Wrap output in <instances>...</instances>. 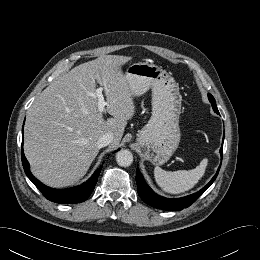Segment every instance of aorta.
Listing matches in <instances>:
<instances>
[{
  "label": "aorta",
  "mask_w": 260,
  "mask_h": 260,
  "mask_svg": "<svg viewBox=\"0 0 260 260\" xmlns=\"http://www.w3.org/2000/svg\"><path fill=\"white\" fill-rule=\"evenodd\" d=\"M116 161L119 166L128 167L133 163V155L131 151L122 149L117 152Z\"/></svg>",
  "instance_id": "1"
}]
</instances>
